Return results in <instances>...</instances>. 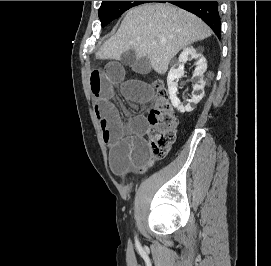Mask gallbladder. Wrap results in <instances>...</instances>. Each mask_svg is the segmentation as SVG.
I'll return each mask as SVG.
<instances>
[{"mask_svg": "<svg viewBox=\"0 0 271 266\" xmlns=\"http://www.w3.org/2000/svg\"><path fill=\"white\" fill-rule=\"evenodd\" d=\"M121 63L130 66L138 74H148L151 71V65L147 57L137 58L134 50H128L121 56Z\"/></svg>", "mask_w": 271, "mask_h": 266, "instance_id": "gallbladder-1", "label": "gallbladder"}]
</instances>
